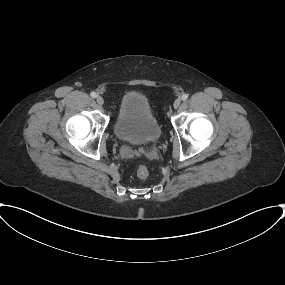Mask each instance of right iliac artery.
<instances>
[{
    "mask_svg": "<svg viewBox=\"0 0 285 285\" xmlns=\"http://www.w3.org/2000/svg\"><path fill=\"white\" fill-rule=\"evenodd\" d=\"M90 95H91L92 98H96L97 97V94L95 92H91Z\"/></svg>",
    "mask_w": 285,
    "mask_h": 285,
    "instance_id": "right-iliac-artery-1",
    "label": "right iliac artery"
}]
</instances>
